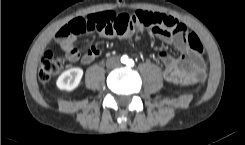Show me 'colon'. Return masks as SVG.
Returning a JSON list of instances; mask_svg holds the SVG:
<instances>
[{"label": "colon", "mask_w": 245, "mask_h": 145, "mask_svg": "<svg viewBox=\"0 0 245 145\" xmlns=\"http://www.w3.org/2000/svg\"><path fill=\"white\" fill-rule=\"evenodd\" d=\"M79 18V17H78ZM78 18H75L58 31L59 42L69 36H78L84 34L87 30L96 28L99 31L108 29L118 34H124L130 30L139 27H166L169 31L176 35H185L189 46L196 50L202 51L203 46L198 37L187 30L184 24L172 17H163L158 13L142 12L138 16V20L129 14H120L113 21H108L103 15L88 17L86 24H82ZM62 60L57 55L55 48H49L45 51L41 58L38 75L42 81H48L53 78L60 70Z\"/></svg>", "instance_id": "colon-1"}]
</instances>
